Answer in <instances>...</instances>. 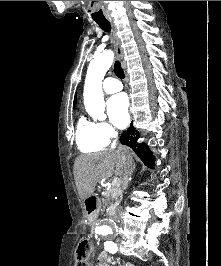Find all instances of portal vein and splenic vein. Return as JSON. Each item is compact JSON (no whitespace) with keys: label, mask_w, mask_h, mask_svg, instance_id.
I'll list each match as a JSON object with an SVG mask.
<instances>
[{"label":"portal vein and splenic vein","mask_w":221,"mask_h":266,"mask_svg":"<svg viewBox=\"0 0 221 266\" xmlns=\"http://www.w3.org/2000/svg\"><path fill=\"white\" fill-rule=\"evenodd\" d=\"M119 185H120V179L118 177H114V179L112 180L111 186L117 187Z\"/></svg>","instance_id":"18ae733b"}]
</instances>
